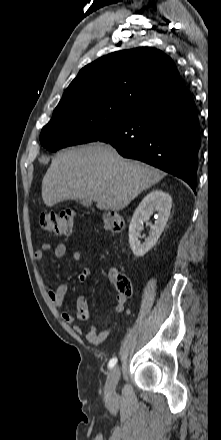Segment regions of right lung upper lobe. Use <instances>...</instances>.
<instances>
[{
	"instance_id": "right-lung-upper-lobe-1",
	"label": "right lung upper lobe",
	"mask_w": 221,
	"mask_h": 440,
	"mask_svg": "<svg viewBox=\"0 0 221 440\" xmlns=\"http://www.w3.org/2000/svg\"><path fill=\"white\" fill-rule=\"evenodd\" d=\"M185 87L170 57L140 47L103 56L80 70L56 108L79 102H114L132 108Z\"/></svg>"
}]
</instances>
